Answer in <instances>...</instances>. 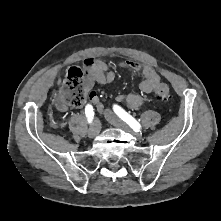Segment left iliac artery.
I'll return each instance as SVG.
<instances>
[{
	"instance_id": "obj_1",
	"label": "left iliac artery",
	"mask_w": 221,
	"mask_h": 221,
	"mask_svg": "<svg viewBox=\"0 0 221 221\" xmlns=\"http://www.w3.org/2000/svg\"><path fill=\"white\" fill-rule=\"evenodd\" d=\"M114 112L123 120L125 121L135 132H139L141 130L140 123L134 119L131 115H129L124 109H122L118 105H114L113 107Z\"/></svg>"
}]
</instances>
